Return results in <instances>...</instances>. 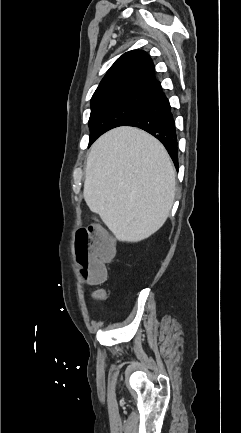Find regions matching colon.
Masks as SVG:
<instances>
[{
    "label": "colon",
    "instance_id": "5ec220e1",
    "mask_svg": "<svg viewBox=\"0 0 241 433\" xmlns=\"http://www.w3.org/2000/svg\"><path fill=\"white\" fill-rule=\"evenodd\" d=\"M92 228H82L77 232L75 256L78 263L74 264L75 272H84L85 278L93 283H100L106 278L105 262L114 253V243L103 228H97L95 236ZM102 291L96 296L102 297Z\"/></svg>",
    "mask_w": 241,
    "mask_h": 433
}]
</instances>
